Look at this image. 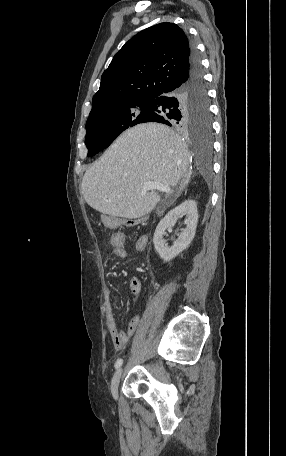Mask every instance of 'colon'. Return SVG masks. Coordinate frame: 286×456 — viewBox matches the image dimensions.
Instances as JSON below:
<instances>
[{
  "label": "colon",
  "instance_id": "1",
  "mask_svg": "<svg viewBox=\"0 0 286 456\" xmlns=\"http://www.w3.org/2000/svg\"><path fill=\"white\" fill-rule=\"evenodd\" d=\"M111 239H112V241H114V242L117 240L116 237H112Z\"/></svg>",
  "mask_w": 286,
  "mask_h": 456
}]
</instances>
